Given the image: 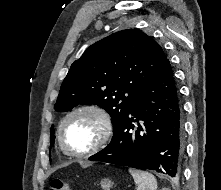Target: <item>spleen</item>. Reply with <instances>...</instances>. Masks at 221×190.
Segmentation results:
<instances>
[{"label":"spleen","mask_w":221,"mask_h":190,"mask_svg":"<svg viewBox=\"0 0 221 190\" xmlns=\"http://www.w3.org/2000/svg\"><path fill=\"white\" fill-rule=\"evenodd\" d=\"M129 172L137 185V190H157L156 178L151 173L132 168H129Z\"/></svg>","instance_id":"3e777b00"}]
</instances>
